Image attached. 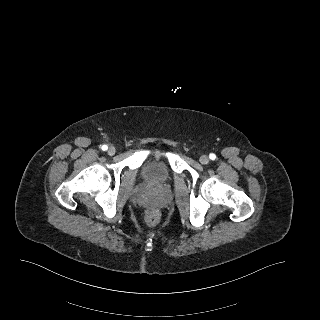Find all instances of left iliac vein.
<instances>
[{
    "label": "left iliac vein",
    "mask_w": 320,
    "mask_h": 320,
    "mask_svg": "<svg viewBox=\"0 0 320 320\" xmlns=\"http://www.w3.org/2000/svg\"><path fill=\"white\" fill-rule=\"evenodd\" d=\"M199 161L202 164H208L209 163V158L206 155H202V156H200Z\"/></svg>",
    "instance_id": "left-iliac-vein-1"
}]
</instances>
